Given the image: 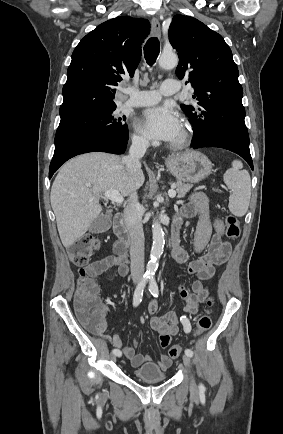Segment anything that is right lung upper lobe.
<instances>
[{
    "mask_svg": "<svg viewBox=\"0 0 283 434\" xmlns=\"http://www.w3.org/2000/svg\"><path fill=\"white\" fill-rule=\"evenodd\" d=\"M149 31L148 20L124 16L100 24L82 38L68 67L60 116L116 107V86L124 74L133 76Z\"/></svg>",
    "mask_w": 283,
    "mask_h": 434,
    "instance_id": "right-lung-upper-lobe-1",
    "label": "right lung upper lobe"
}]
</instances>
